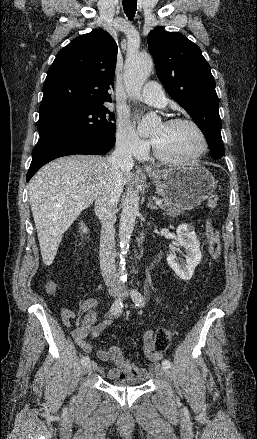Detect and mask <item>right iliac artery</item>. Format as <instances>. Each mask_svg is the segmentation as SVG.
I'll return each instance as SVG.
<instances>
[{
    "label": "right iliac artery",
    "instance_id": "82829eb1",
    "mask_svg": "<svg viewBox=\"0 0 257 439\" xmlns=\"http://www.w3.org/2000/svg\"><path fill=\"white\" fill-rule=\"evenodd\" d=\"M120 297H121V296H119V297L115 300V302L112 304V306H111L110 311H111V313L114 314V315L119 314V313L121 312V310H122V306H123V304H122V300H121ZM89 361H90L89 356H83V357L81 358V363H82V364H86V363H88Z\"/></svg>",
    "mask_w": 257,
    "mask_h": 439
}]
</instances>
